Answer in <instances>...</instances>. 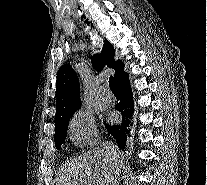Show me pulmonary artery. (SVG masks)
Segmentation results:
<instances>
[{"label": "pulmonary artery", "mask_w": 207, "mask_h": 185, "mask_svg": "<svg viewBox=\"0 0 207 185\" xmlns=\"http://www.w3.org/2000/svg\"><path fill=\"white\" fill-rule=\"evenodd\" d=\"M98 99L104 103H111L113 101V95L111 92L100 90L98 92Z\"/></svg>", "instance_id": "1"}]
</instances>
